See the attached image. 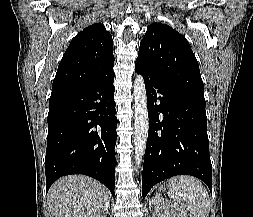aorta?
<instances>
[{
    "instance_id": "762f6f07",
    "label": "aorta",
    "mask_w": 253,
    "mask_h": 217,
    "mask_svg": "<svg viewBox=\"0 0 253 217\" xmlns=\"http://www.w3.org/2000/svg\"><path fill=\"white\" fill-rule=\"evenodd\" d=\"M134 111V160L139 166L145 155L149 130L146 88L141 75L134 81Z\"/></svg>"
}]
</instances>
